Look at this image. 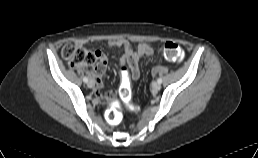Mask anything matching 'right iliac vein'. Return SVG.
Listing matches in <instances>:
<instances>
[{"label":"right iliac vein","mask_w":258,"mask_h":158,"mask_svg":"<svg viewBox=\"0 0 258 158\" xmlns=\"http://www.w3.org/2000/svg\"><path fill=\"white\" fill-rule=\"evenodd\" d=\"M87 86H88L89 88L94 87V82H93L92 80L88 81Z\"/></svg>","instance_id":"63e3f726"}]
</instances>
